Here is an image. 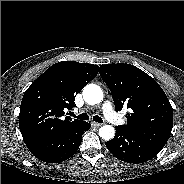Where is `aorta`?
Here are the masks:
<instances>
[{"label":"aorta","instance_id":"762f6f07","mask_svg":"<svg viewBox=\"0 0 184 184\" xmlns=\"http://www.w3.org/2000/svg\"><path fill=\"white\" fill-rule=\"evenodd\" d=\"M103 97V92L98 85L88 84L83 90V98L90 105L102 102ZM99 135L104 140H111L115 135V129L111 125H104L99 129Z\"/></svg>","mask_w":184,"mask_h":184}]
</instances>
